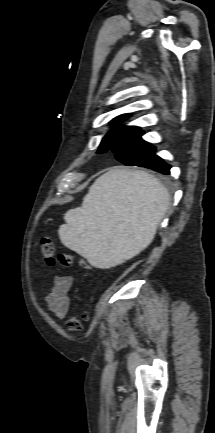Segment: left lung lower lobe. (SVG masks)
I'll return each instance as SVG.
<instances>
[{"instance_id": "obj_1", "label": "left lung lower lobe", "mask_w": 215, "mask_h": 433, "mask_svg": "<svg viewBox=\"0 0 215 433\" xmlns=\"http://www.w3.org/2000/svg\"><path fill=\"white\" fill-rule=\"evenodd\" d=\"M130 166L144 167L143 164H140V165L133 164V165H130ZM170 168H171V166L168 165V164H166V163H164V161H163L162 164L157 169H155V170L153 169V170L157 171V172H160L162 174L168 175L170 173L169 172Z\"/></svg>"}]
</instances>
